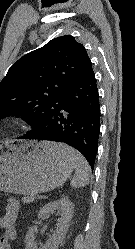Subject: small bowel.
Instances as JSON below:
<instances>
[{
  "instance_id": "1",
  "label": "small bowel",
  "mask_w": 135,
  "mask_h": 249,
  "mask_svg": "<svg viewBox=\"0 0 135 249\" xmlns=\"http://www.w3.org/2000/svg\"><path fill=\"white\" fill-rule=\"evenodd\" d=\"M19 214V203L10 199L6 206L5 214L0 218V226L6 230V237L0 239V249H8L10 239L15 236L14 224Z\"/></svg>"
}]
</instances>
